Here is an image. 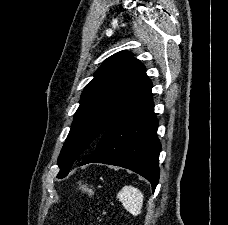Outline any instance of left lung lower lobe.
<instances>
[{"mask_svg": "<svg viewBox=\"0 0 228 225\" xmlns=\"http://www.w3.org/2000/svg\"><path fill=\"white\" fill-rule=\"evenodd\" d=\"M158 120L150 92L102 134L94 152L80 166L104 163L130 169L145 177L154 192L159 180L161 144L156 135Z\"/></svg>", "mask_w": 228, "mask_h": 225, "instance_id": "obj_1", "label": "left lung lower lobe"}]
</instances>
